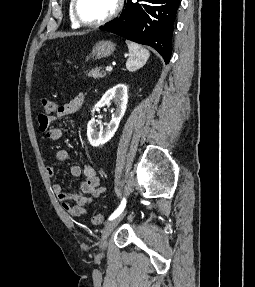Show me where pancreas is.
Returning a JSON list of instances; mask_svg holds the SVG:
<instances>
[{
	"label": "pancreas",
	"mask_w": 255,
	"mask_h": 287,
	"mask_svg": "<svg viewBox=\"0 0 255 287\" xmlns=\"http://www.w3.org/2000/svg\"><path fill=\"white\" fill-rule=\"evenodd\" d=\"M87 76H89V78H94V80H96V78H103V76H106V74H103L100 68H95V70H91V72H89Z\"/></svg>",
	"instance_id": "pancreas-1"
}]
</instances>
